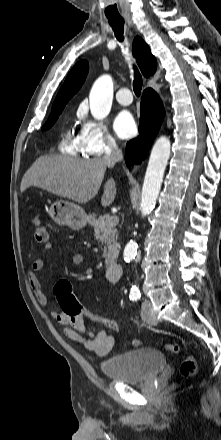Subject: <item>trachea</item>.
<instances>
[{
  "instance_id": "trachea-1",
  "label": "trachea",
  "mask_w": 221,
  "mask_h": 440,
  "mask_svg": "<svg viewBox=\"0 0 221 440\" xmlns=\"http://www.w3.org/2000/svg\"><path fill=\"white\" fill-rule=\"evenodd\" d=\"M109 24L111 25L112 29L114 30L116 38L123 42L124 36H123V27H124V19L123 18H116V17H108ZM143 81L142 76L140 75L139 71L135 67V75H134V81H133V90L136 96H140L141 89H142Z\"/></svg>"
}]
</instances>
